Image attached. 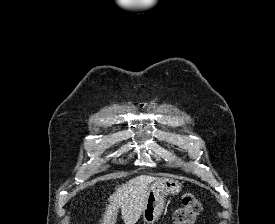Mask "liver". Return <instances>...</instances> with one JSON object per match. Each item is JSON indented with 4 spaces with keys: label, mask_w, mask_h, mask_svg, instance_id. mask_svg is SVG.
I'll return each instance as SVG.
<instances>
[{
    "label": "liver",
    "mask_w": 275,
    "mask_h": 224,
    "mask_svg": "<svg viewBox=\"0 0 275 224\" xmlns=\"http://www.w3.org/2000/svg\"><path fill=\"white\" fill-rule=\"evenodd\" d=\"M155 179L152 176L140 175L118 186L108 199L109 204L106 205L100 223L115 224L120 208L125 224H135L145 208L149 186Z\"/></svg>",
    "instance_id": "1"
}]
</instances>
